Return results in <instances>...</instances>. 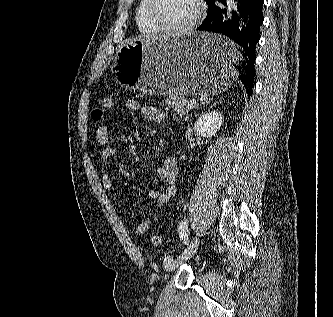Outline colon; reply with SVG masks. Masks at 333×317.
Here are the masks:
<instances>
[{"label": "colon", "mask_w": 333, "mask_h": 317, "mask_svg": "<svg viewBox=\"0 0 333 317\" xmlns=\"http://www.w3.org/2000/svg\"><path fill=\"white\" fill-rule=\"evenodd\" d=\"M111 109V99L108 96H101L99 97L93 107L92 110V119L94 121H100L102 120L105 115L110 111ZM151 243L154 246H158L161 243V237L159 235H153L151 238Z\"/></svg>", "instance_id": "5ec220e1"}]
</instances>
